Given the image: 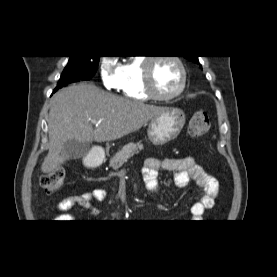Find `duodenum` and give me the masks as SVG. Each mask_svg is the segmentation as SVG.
Returning a JSON list of instances; mask_svg holds the SVG:
<instances>
[{
    "label": "duodenum",
    "mask_w": 277,
    "mask_h": 277,
    "mask_svg": "<svg viewBox=\"0 0 277 277\" xmlns=\"http://www.w3.org/2000/svg\"><path fill=\"white\" fill-rule=\"evenodd\" d=\"M105 158L104 152L100 150H92L86 157L85 164L88 168L99 166Z\"/></svg>",
    "instance_id": "duodenum-1"
}]
</instances>
